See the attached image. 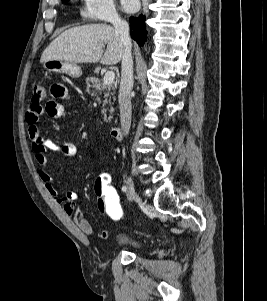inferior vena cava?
I'll return each instance as SVG.
<instances>
[{"mask_svg":"<svg viewBox=\"0 0 267 301\" xmlns=\"http://www.w3.org/2000/svg\"><path fill=\"white\" fill-rule=\"evenodd\" d=\"M116 32L119 34L124 47L121 65V82L118 95L120 108L121 128L124 135H127L131 126V90L133 87V57L131 53V39L129 36V25L126 21L120 19L117 14L111 17Z\"/></svg>","mask_w":267,"mask_h":301,"instance_id":"obj_1","label":"inferior vena cava"}]
</instances>
